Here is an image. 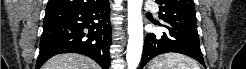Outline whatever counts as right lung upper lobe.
Instances as JSON below:
<instances>
[{"mask_svg":"<svg viewBox=\"0 0 246 69\" xmlns=\"http://www.w3.org/2000/svg\"><path fill=\"white\" fill-rule=\"evenodd\" d=\"M106 0H49L46 9L55 7H86L98 5Z\"/></svg>","mask_w":246,"mask_h":69,"instance_id":"obj_1","label":"right lung upper lobe"}]
</instances>
